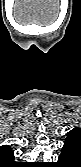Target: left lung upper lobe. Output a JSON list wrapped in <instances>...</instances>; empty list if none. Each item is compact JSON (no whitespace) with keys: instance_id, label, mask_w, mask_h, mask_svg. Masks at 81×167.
<instances>
[{"instance_id":"5c2ea615","label":"left lung upper lobe","mask_w":81,"mask_h":167,"mask_svg":"<svg viewBox=\"0 0 81 167\" xmlns=\"http://www.w3.org/2000/svg\"><path fill=\"white\" fill-rule=\"evenodd\" d=\"M64 143L75 144L79 149H81V128L72 129L65 139Z\"/></svg>"}]
</instances>
